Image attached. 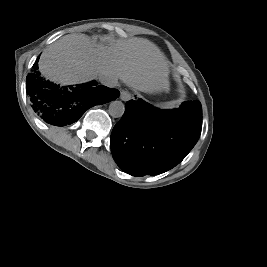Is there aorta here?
Instances as JSON below:
<instances>
[{"mask_svg": "<svg viewBox=\"0 0 267 267\" xmlns=\"http://www.w3.org/2000/svg\"><path fill=\"white\" fill-rule=\"evenodd\" d=\"M125 111V106L121 101H113L109 105L108 113L114 118L122 117Z\"/></svg>", "mask_w": 267, "mask_h": 267, "instance_id": "obj_1", "label": "aorta"}]
</instances>
